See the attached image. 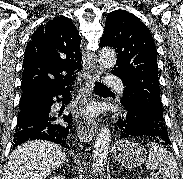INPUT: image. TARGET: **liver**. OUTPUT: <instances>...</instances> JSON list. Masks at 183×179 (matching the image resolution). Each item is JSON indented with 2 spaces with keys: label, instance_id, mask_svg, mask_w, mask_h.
<instances>
[{
  "label": "liver",
  "instance_id": "1",
  "mask_svg": "<svg viewBox=\"0 0 183 179\" xmlns=\"http://www.w3.org/2000/svg\"><path fill=\"white\" fill-rule=\"evenodd\" d=\"M65 159V151L57 144L25 142L9 155L6 179H46Z\"/></svg>",
  "mask_w": 183,
  "mask_h": 179
}]
</instances>
